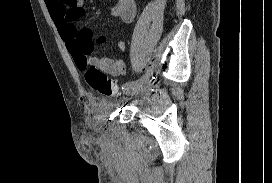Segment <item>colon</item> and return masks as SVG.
Listing matches in <instances>:
<instances>
[{"label":"colon","mask_w":272,"mask_h":183,"mask_svg":"<svg viewBox=\"0 0 272 183\" xmlns=\"http://www.w3.org/2000/svg\"><path fill=\"white\" fill-rule=\"evenodd\" d=\"M85 79L95 92L110 97L118 92L117 85L102 71L89 67L85 70Z\"/></svg>","instance_id":"colon-1"}]
</instances>
